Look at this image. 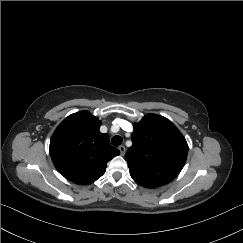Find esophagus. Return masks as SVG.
I'll list each match as a JSON object with an SVG mask.
<instances>
[{
  "mask_svg": "<svg viewBox=\"0 0 243 243\" xmlns=\"http://www.w3.org/2000/svg\"><path fill=\"white\" fill-rule=\"evenodd\" d=\"M118 149H119V151H120V154L123 156V155L125 154V152H126V148H125V146L120 145V146L118 147Z\"/></svg>",
  "mask_w": 243,
  "mask_h": 243,
  "instance_id": "34e87169",
  "label": "esophagus"
}]
</instances>
